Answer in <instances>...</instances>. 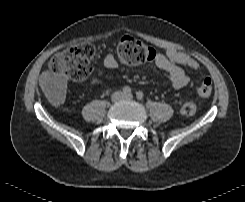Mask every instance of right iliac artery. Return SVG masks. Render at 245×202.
Segmentation results:
<instances>
[{
	"instance_id": "82829eb1",
	"label": "right iliac artery",
	"mask_w": 245,
	"mask_h": 202,
	"mask_svg": "<svg viewBox=\"0 0 245 202\" xmlns=\"http://www.w3.org/2000/svg\"><path fill=\"white\" fill-rule=\"evenodd\" d=\"M122 91L125 95L131 94V88L129 86H125Z\"/></svg>"
}]
</instances>
